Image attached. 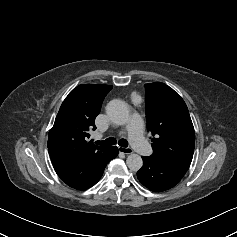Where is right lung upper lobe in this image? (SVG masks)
<instances>
[{
  "instance_id": "obj_1",
  "label": "right lung upper lobe",
  "mask_w": 237,
  "mask_h": 237,
  "mask_svg": "<svg viewBox=\"0 0 237 237\" xmlns=\"http://www.w3.org/2000/svg\"><path fill=\"white\" fill-rule=\"evenodd\" d=\"M111 85L83 84L73 89L63 101L55 123L48 134V150H56L84 159L106 151L88 141V131L95 130L94 121Z\"/></svg>"
}]
</instances>
